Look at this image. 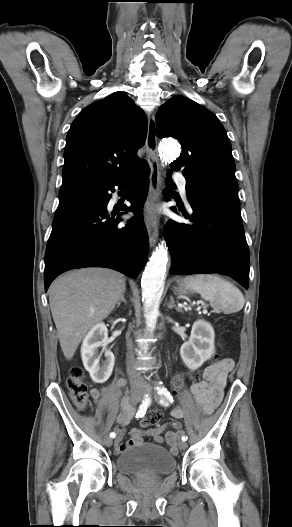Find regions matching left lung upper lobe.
Returning <instances> with one entry per match:
<instances>
[{"label":"left lung upper lobe","instance_id":"5c2ea615","mask_svg":"<svg viewBox=\"0 0 292 527\" xmlns=\"http://www.w3.org/2000/svg\"><path fill=\"white\" fill-rule=\"evenodd\" d=\"M156 121L159 138L175 137L182 146L183 153L171 168L183 170L187 195L238 199L231 143L212 112L189 98L173 96L160 107Z\"/></svg>","mask_w":292,"mask_h":527}]
</instances>
